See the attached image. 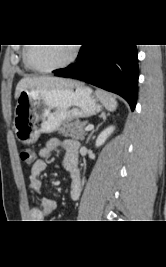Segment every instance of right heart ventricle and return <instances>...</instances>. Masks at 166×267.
<instances>
[{
  "label": "right heart ventricle",
  "instance_id": "obj_1",
  "mask_svg": "<svg viewBox=\"0 0 166 267\" xmlns=\"http://www.w3.org/2000/svg\"><path fill=\"white\" fill-rule=\"evenodd\" d=\"M24 52H25V49H24L23 52H22V62H23L24 68H25L27 71H31L32 69L27 65V63H26V61H25V58H24Z\"/></svg>",
  "mask_w": 166,
  "mask_h": 267
}]
</instances>
